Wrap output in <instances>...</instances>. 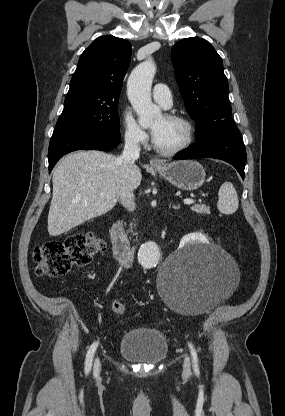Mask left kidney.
Listing matches in <instances>:
<instances>
[{
	"mask_svg": "<svg viewBox=\"0 0 285 416\" xmlns=\"http://www.w3.org/2000/svg\"><path fill=\"white\" fill-rule=\"evenodd\" d=\"M197 236L198 240H201V242H208L206 236L204 234H195Z\"/></svg>",
	"mask_w": 285,
	"mask_h": 416,
	"instance_id": "1",
	"label": "left kidney"
}]
</instances>
